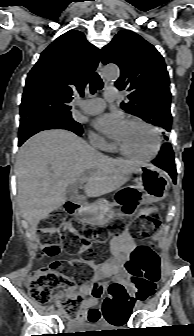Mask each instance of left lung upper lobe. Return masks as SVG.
Segmentation results:
<instances>
[{
	"label": "left lung upper lobe",
	"instance_id": "1",
	"mask_svg": "<svg viewBox=\"0 0 194 336\" xmlns=\"http://www.w3.org/2000/svg\"><path fill=\"white\" fill-rule=\"evenodd\" d=\"M101 59L104 65L115 63L120 67L121 75L115 85L129 92L128 101L121 107L170 132L169 76L157 49L138 34L122 30L103 47ZM165 139L168 140L166 136Z\"/></svg>",
	"mask_w": 194,
	"mask_h": 336
}]
</instances>
